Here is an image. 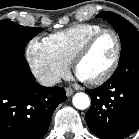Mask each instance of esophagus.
<instances>
[{
	"label": "esophagus",
	"mask_w": 139,
	"mask_h": 139,
	"mask_svg": "<svg viewBox=\"0 0 139 139\" xmlns=\"http://www.w3.org/2000/svg\"><path fill=\"white\" fill-rule=\"evenodd\" d=\"M65 92H66V95L68 97H70L74 93V90L72 88L68 87V88L65 89Z\"/></svg>",
	"instance_id": "34e87169"
}]
</instances>
